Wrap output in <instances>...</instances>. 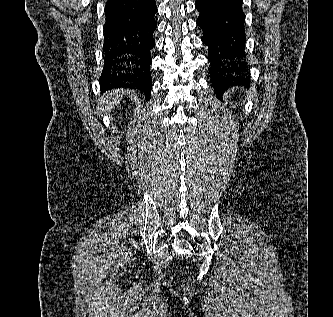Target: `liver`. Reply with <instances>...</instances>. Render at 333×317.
Here are the masks:
<instances>
[{
    "label": "liver",
    "mask_w": 333,
    "mask_h": 317,
    "mask_svg": "<svg viewBox=\"0 0 333 317\" xmlns=\"http://www.w3.org/2000/svg\"><path fill=\"white\" fill-rule=\"evenodd\" d=\"M123 94L122 89L106 92L99 101L101 110L106 114L110 113L114 107L119 104Z\"/></svg>",
    "instance_id": "liver-1"
}]
</instances>
